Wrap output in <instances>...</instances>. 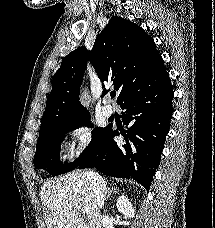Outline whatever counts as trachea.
Instances as JSON below:
<instances>
[{
	"label": "trachea",
	"instance_id": "obj_1",
	"mask_svg": "<svg viewBox=\"0 0 215 228\" xmlns=\"http://www.w3.org/2000/svg\"><path fill=\"white\" fill-rule=\"evenodd\" d=\"M111 98H114L115 97V95H116V92H111Z\"/></svg>",
	"mask_w": 215,
	"mask_h": 228
}]
</instances>
